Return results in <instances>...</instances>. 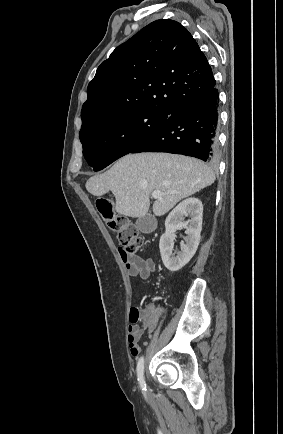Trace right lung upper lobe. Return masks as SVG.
I'll use <instances>...</instances> for the list:
<instances>
[{
	"instance_id": "right-lung-upper-lobe-1",
	"label": "right lung upper lobe",
	"mask_w": 283,
	"mask_h": 434,
	"mask_svg": "<svg viewBox=\"0 0 283 434\" xmlns=\"http://www.w3.org/2000/svg\"><path fill=\"white\" fill-rule=\"evenodd\" d=\"M214 86L208 60L188 30L170 19L157 20L98 67L82 106L81 130L130 111L172 113Z\"/></svg>"
}]
</instances>
